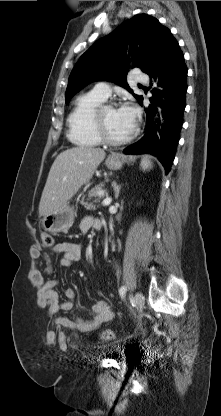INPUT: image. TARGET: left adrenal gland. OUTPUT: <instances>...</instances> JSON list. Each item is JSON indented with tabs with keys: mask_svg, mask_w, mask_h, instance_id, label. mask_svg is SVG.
Wrapping results in <instances>:
<instances>
[{
	"mask_svg": "<svg viewBox=\"0 0 221 416\" xmlns=\"http://www.w3.org/2000/svg\"><path fill=\"white\" fill-rule=\"evenodd\" d=\"M112 187H113L114 192H115V199H118L119 192H120V189H121V185H117V183L115 181H113L112 182Z\"/></svg>",
	"mask_w": 221,
	"mask_h": 416,
	"instance_id": "1",
	"label": "left adrenal gland"
}]
</instances>
